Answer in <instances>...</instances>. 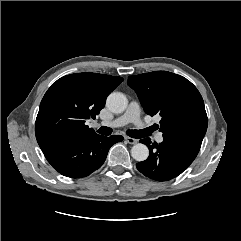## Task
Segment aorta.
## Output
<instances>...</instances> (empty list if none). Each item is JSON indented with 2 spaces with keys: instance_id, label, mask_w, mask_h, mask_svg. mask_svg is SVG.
I'll return each mask as SVG.
<instances>
[{
  "instance_id": "obj_1",
  "label": "aorta",
  "mask_w": 241,
  "mask_h": 241,
  "mask_svg": "<svg viewBox=\"0 0 241 241\" xmlns=\"http://www.w3.org/2000/svg\"><path fill=\"white\" fill-rule=\"evenodd\" d=\"M107 107L114 113H121L125 111L128 105L126 96L120 92L111 93L106 101ZM132 157L138 161H144L149 156V149L142 143L135 144L131 149Z\"/></svg>"
}]
</instances>
